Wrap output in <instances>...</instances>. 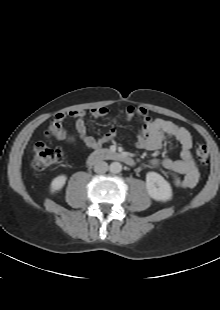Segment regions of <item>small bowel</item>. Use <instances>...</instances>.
<instances>
[{
    "label": "small bowel",
    "instance_id": "c3829d8e",
    "mask_svg": "<svg viewBox=\"0 0 220 310\" xmlns=\"http://www.w3.org/2000/svg\"><path fill=\"white\" fill-rule=\"evenodd\" d=\"M122 112L127 119L136 116L143 123L135 142L136 147L148 151L159 150L163 147L166 137L173 138L179 143L181 148L179 159L152 160L151 166L170 172L174 184L178 187L192 188L198 183L199 171L192 154V137L188 130L168 120L152 119L149 112L143 107L129 106ZM89 113L94 118H100L106 116L108 110L104 107H97L91 109ZM86 116L87 112L83 109L58 113L45 131V136L47 138L54 137L61 141H73V138L63 128L62 123L67 118H74L75 128L86 148L97 149L115 139L118 134L117 127H111L100 138L89 135Z\"/></svg>",
    "mask_w": 220,
    "mask_h": 310
}]
</instances>
